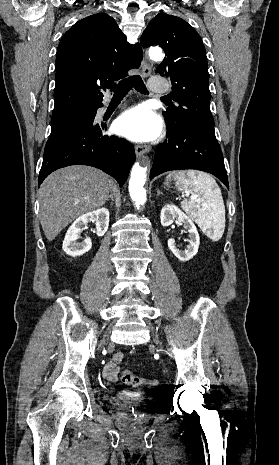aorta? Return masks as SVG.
<instances>
[{"mask_svg":"<svg viewBox=\"0 0 279 465\" xmlns=\"http://www.w3.org/2000/svg\"><path fill=\"white\" fill-rule=\"evenodd\" d=\"M149 56L153 60H160L163 57V53L160 49H153L149 51ZM146 170L139 163H135L131 171L129 193L136 206L144 205L146 202V190L144 188Z\"/></svg>","mask_w":279,"mask_h":465,"instance_id":"aorta-1","label":"aorta"}]
</instances>
